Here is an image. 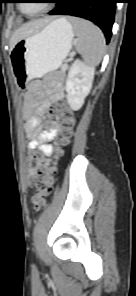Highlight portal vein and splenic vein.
<instances>
[{"mask_svg":"<svg viewBox=\"0 0 136 296\" xmlns=\"http://www.w3.org/2000/svg\"><path fill=\"white\" fill-rule=\"evenodd\" d=\"M67 68V64H64L63 66H62V69L64 70V69H66Z\"/></svg>","mask_w":136,"mask_h":296,"instance_id":"portal-vein-and-splenic-vein-1","label":"portal vein and splenic vein"}]
</instances>
